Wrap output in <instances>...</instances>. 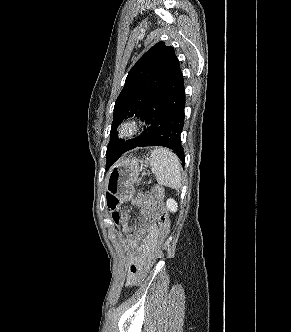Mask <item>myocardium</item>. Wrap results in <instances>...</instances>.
Listing matches in <instances>:
<instances>
[{
	"label": "myocardium",
	"mask_w": 291,
	"mask_h": 332,
	"mask_svg": "<svg viewBox=\"0 0 291 332\" xmlns=\"http://www.w3.org/2000/svg\"><path fill=\"white\" fill-rule=\"evenodd\" d=\"M139 130V120L137 118H128L121 123L118 129V136L121 139H130L136 136Z\"/></svg>",
	"instance_id": "1"
}]
</instances>
